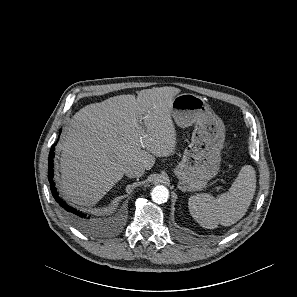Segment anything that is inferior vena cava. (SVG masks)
Instances as JSON below:
<instances>
[{"label": "inferior vena cava", "instance_id": "1", "mask_svg": "<svg viewBox=\"0 0 297 297\" xmlns=\"http://www.w3.org/2000/svg\"><path fill=\"white\" fill-rule=\"evenodd\" d=\"M144 167L137 164H130L125 168V175L130 178H139L144 174Z\"/></svg>", "mask_w": 297, "mask_h": 297}]
</instances>
